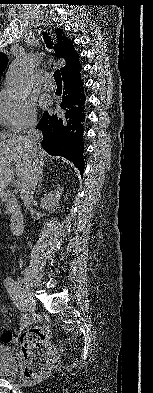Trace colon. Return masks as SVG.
<instances>
[{
  "instance_id": "5ec220e1",
  "label": "colon",
  "mask_w": 153,
  "mask_h": 393,
  "mask_svg": "<svg viewBox=\"0 0 153 393\" xmlns=\"http://www.w3.org/2000/svg\"><path fill=\"white\" fill-rule=\"evenodd\" d=\"M20 346L26 363L25 376L29 379H38L59 364V356L49 343V332L45 327L24 330Z\"/></svg>"
}]
</instances>
